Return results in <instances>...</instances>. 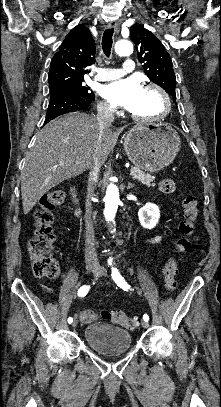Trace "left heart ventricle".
I'll use <instances>...</instances> for the list:
<instances>
[{
  "label": "left heart ventricle",
  "instance_id": "left-heart-ventricle-1",
  "mask_svg": "<svg viewBox=\"0 0 221 407\" xmlns=\"http://www.w3.org/2000/svg\"><path fill=\"white\" fill-rule=\"evenodd\" d=\"M163 110V101L155 90L143 89L131 112L141 117H155Z\"/></svg>",
  "mask_w": 221,
  "mask_h": 407
}]
</instances>
